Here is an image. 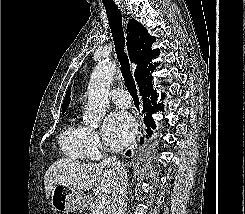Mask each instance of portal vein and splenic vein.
I'll use <instances>...</instances> for the list:
<instances>
[{
  "instance_id": "18ae733b",
  "label": "portal vein and splenic vein",
  "mask_w": 245,
  "mask_h": 214,
  "mask_svg": "<svg viewBox=\"0 0 245 214\" xmlns=\"http://www.w3.org/2000/svg\"><path fill=\"white\" fill-rule=\"evenodd\" d=\"M109 204H110V202L105 197H102L100 199V201H99V205L97 207V211H102Z\"/></svg>"
}]
</instances>
